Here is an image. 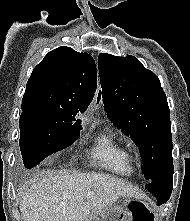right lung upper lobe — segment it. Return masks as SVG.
Wrapping results in <instances>:
<instances>
[{
	"label": "right lung upper lobe",
	"instance_id": "obj_1",
	"mask_svg": "<svg viewBox=\"0 0 190 221\" xmlns=\"http://www.w3.org/2000/svg\"><path fill=\"white\" fill-rule=\"evenodd\" d=\"M96 80L95 62L89 54L65 46L54 49L33 69L23 96L22 113H83L94 96Z\"/></svg>",
	"mask_w": 190,
	"mask_h": 221
}]
</instances>
